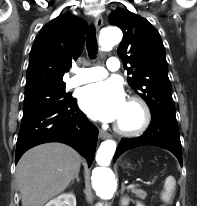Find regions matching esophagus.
<instances>
[{"label": "esophagus", "mask_w": 197, "mask_h": 206, "mask_svg": "<svg viewBox=\"0 0 197 206\" xmlns=\"http://www.w3.org/2000/svg\"><path fill=\"white\" fill-rule=\"evenodd\" d=\"M94 24H95L96 29L99 31L103 25V19L100 15L95 17ZM99 136L101 139H109L111 137V135L104 130H100Z\"/></svg>", "instance_id": "1"}]
</instances>
